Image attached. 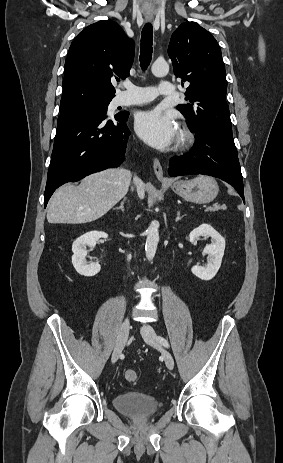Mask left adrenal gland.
I'll list each match as a JSON object with an SVG mask.
<instances>
[{
	"instance_id": "obj_1",
	"label": "left adrenal gland",
	"mask_w": 283,
	"mask_h": 463,
	"mask_svg": "<svg viewBox=\"0 0 283 463\" xmlns=\"http://www.w3.org/2000/svg\"><path fill=\"white\" fill-rule=\"evenodd\" d=\"M184 216H181V213H180V210L177 211V214H176V219L175 221L178 222L179 220H181Z\"/></svg>"
}]
</instances>
